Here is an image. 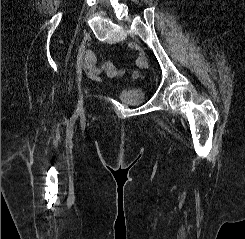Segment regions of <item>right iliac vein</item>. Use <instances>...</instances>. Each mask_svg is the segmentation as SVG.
<instances>
[{"mask_svg":"<svg viewBox=\"0 0 245 239\" xmlns=\"http://www.w3.org/2000/svg\"><path fill=\"white\" fill-rule=\"evenodd\" d=\"M89 38V34L85 33L83 40L81 42V52H80V63L77 68V82H78V101H77V110H81L83 108V95L81 91V80H82V68H83V56L85 52V44L86 40Z\"/></svg>","mask_w":245,"mask_h":239,"instance_id":"1","label":"right iliac vein"}]
</instances>
